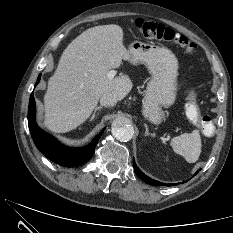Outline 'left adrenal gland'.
Here are the masks:
<instances>
[{
    "label": "left adrenal gland",
    "mask_w": 233,
    "mask_h": 233,
    "mask_svg": "<svg viewBox=\"0 0 233 233\" xmlns=\"http://www.w3.org/2000/svg\"><path fill=\"white\" fill-rule=\"evenodd\" d=\"M144 127H145V136L155 137L154 133H149V129H148V126L146 124H144Z\"/></svg>",
    "instance_id": "left-adrenal-gland-1"
}]
</instances>
